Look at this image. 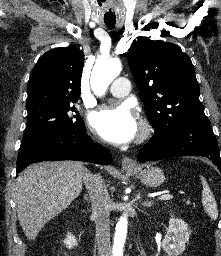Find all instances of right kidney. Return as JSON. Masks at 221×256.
Wrapping results in <instances>:
<instances>
[{"label":"right kidney","instance_id":"right-kidney-1","mask_svg":"<svg viewBox=\"0 0 221 256\" xmlns=\"http://www.w3.org/2000/svg\"><path fill=\"white\" fill-rule=\"evenodd\" d=\"M63 242L66 244V246H67L69 249H71V248H73V247H75V246L78 245V242H77V239L75 238V236L72 235V234L69 233V232H68V234L66 235V238H65V240H64Z\"/></svg>","mask_w":221,"mask_h":256}]
</instances>
